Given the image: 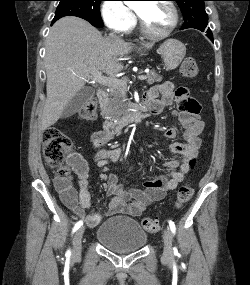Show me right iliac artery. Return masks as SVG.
Masks as SVG:
<instances>
[{
    "label": "right iliac artery",
    "mask_w": 250,
    "mask_h": 285,
    "mask_svg": "<svg viewBox=\"0 0 250 285\" xmlns=\"http://www.w3.org/2000/svg\"><path fill=\"white\" fill-rule=\"evenodd\" d=\"M82 225H83V221H82V220L78 221V222L75 224V226H74L72 232L74 233L75 231H77ZM66 255H67L68 257L71 255L70 250L67 251Z\"/></svg>",
    "instance_id": "1"
}]
</instances>
